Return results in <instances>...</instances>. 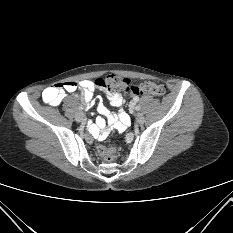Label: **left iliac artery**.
I'll return each mask as SVG.
<instances>
[{
  "label": "left iliac artery",
  "mask_w": 233,
  "mask_h": 233,
  "mask_svg": "<svg viewBox=\"0 0 233 233\" xmlns=\"http://www.w3.org/2000/svg\"><path fill=\"white\" fill-rule=\"evenodd\" d=\"M134 101L135 102H138L139 101V97H135L134 98ZM137 111H139L140 110V107L139 106H136V108H135Z\"/></svg>",
  "instance_id": "1"
}]
</instances>
